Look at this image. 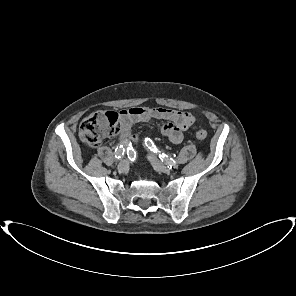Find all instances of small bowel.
<instances>
[{"instance_id":"small-bowel-1","label":"small bowel","mask_w":296,"mask_h":296,"mask_svg":"<svg viewBox=\"0 0 296 296\" xmlns=\"http://www.w3.org/2000/svg\"><path fill=\"white\" fill-rule=\"evenodd\" d=\"M166 120L161 127V133L173 144L183 140V132L195 121L194 116L186 111H179L166 107H132L120 112V141L124 145L137 143L138 135L132 132L135 123H150L153 120Z\"/></svg>"}]
</instances>
